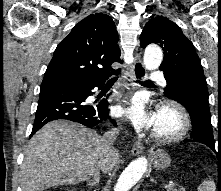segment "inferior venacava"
<instances>
[{"label": "inferior vena cava", "mask_w": 221, "mask_h": 191, "mask_svg": "<svg viewBox=\"0 0 221 191\" xmlns=\"http://www.w3.org/2000/svg\"><path fill=\"white\" fill-rule=\"evenodd\" d=\"M118 135V130L113 129L109 132H107L103 137H102V142L104 144V158L102 160L101 164V170L105 172L108 168L109 163L112 161V159L116 156V151L113 148V142L116 140V136ZM99 175V172L94 173V177Z\"/></svg>", "instance_id": "602c4592"}]
</instances>
